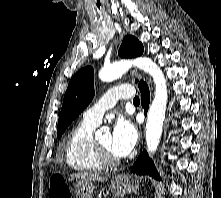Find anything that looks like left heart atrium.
<instances>
[{"label":"left heart atrium","mask_w":221,"mask_h":198,"mask_svg":"<svg viewBox=\"0 0 221 198\" xmlns=\"http://www.w3.org/2000/svg\"><path fill=\"white\" fill-rule=\"evenodd\" d=\"M137 142V130L126 119L116 121L111 133V149L116 156H127Z\"/></svg>","instance_id":"1"}]
</instances>
